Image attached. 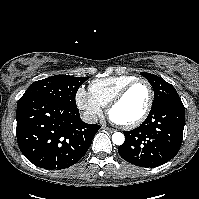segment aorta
Segmentation results:
<instances>
[{"label": "aorta", "mask_w": 199, "mask_h": 199, "mask_svg": "<svg viewBox=\"0 0 199 199\" xmlns=\"http://www.w3.org/2000/svg\"><path fill=\"white\" fill-rule=\"evenodd\" d=\"M124 141H125V137H124V134H122L121 132H115L112 135V142L115 145H122Z\"/></svg>", "instance_id": "1"}]
</instances>
